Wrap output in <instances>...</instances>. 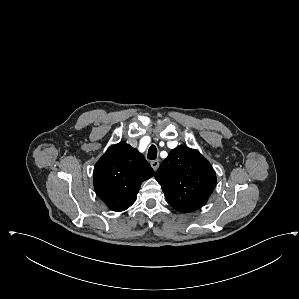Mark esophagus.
Wrapping results in <instances>:
<instances>
[{
	"label": "esophagus",
	"mask_w": 299,
	"mask_h": 299,
	"mask_svg": "<svg viewBox=\"0 0 299 299\" xmlns=\"http://www.w3.org/2000/svg\"><path fill=\"white\" fill-rule=\"evenodd\" d=\"M151 167L154 169V171H156L160 165L159 160H153L150 162Z\"/></svg>",
	"instance_id": "esophagus-1"
}]
</instances>
